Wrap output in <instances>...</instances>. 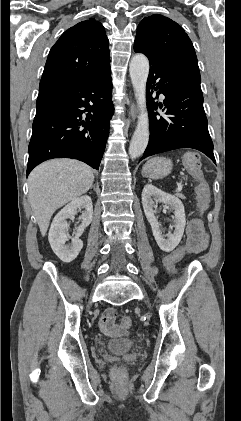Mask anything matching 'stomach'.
I'll return each instance as SVG.
<instances>
[{"instance_id": "stomach-1", "label": "stomach", "mask_w": 241, "mask_h": 421, "mask_svg": "<svg viewBox=\"0 0 241 421\" xmlns=\"http://www.w3.org/2000/svg\"><path fill=\"white\" fill-rule=\"evenodd\" d=\"M173 164L170 159L154 157L148 160L142 168V175L147 178L160 179L170 174Z\"/></svg>"}]
</instances>
